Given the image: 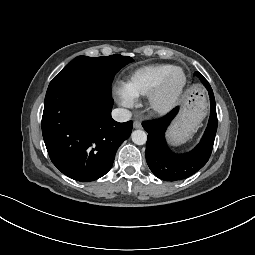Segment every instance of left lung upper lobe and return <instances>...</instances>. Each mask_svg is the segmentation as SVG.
<instances>
[{"mask_svg":"<svg viewBox=\"0 0 255 255\" xmlns=\"http://www.w3.org/2000/svg\"><path fill=\"white\" fill-rule=\"evenodd\" d=\"M195 74H196L197 76L203 77L202 74L199 73V72H196Z\"/></svg>","mask_w":255,"mask_h":255,"instance_id":"5c2ea615","label":"left lung upper lobe"}]
</instances>
